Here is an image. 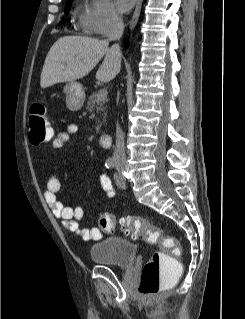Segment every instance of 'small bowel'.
I'll return each mask as SVG.
<instances>
[{
  "mask_svg": "<svg viewBox=\"0 0 245 319\" xmlns=\"http://www.w3.org/2000/svg\"><path fill=\"white\" fill-rule=\"evenodd\" d=\"M78 132V127L75 124H70L64 131H61L52 141V148L59 149L67 143L70 137ZM101 188L107 198L112 199L116 196L111 180L106 174H101ZM61 189V181L56 174H52L46 184L44 198L51 209L53 215L61 220L62 226L77 235H80L85 241H98L103 237V231L99 227H91L80 229L79 222L83 218L84 209L81 205L71 206L62 203L58 199V193Z\"/></svg>",
  "mask_w": 245,
  "mask_h": 319,
  "instance_id": "obj_1",
  "label": "small bowel"
}]
</instances>
